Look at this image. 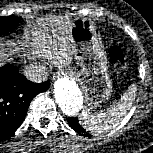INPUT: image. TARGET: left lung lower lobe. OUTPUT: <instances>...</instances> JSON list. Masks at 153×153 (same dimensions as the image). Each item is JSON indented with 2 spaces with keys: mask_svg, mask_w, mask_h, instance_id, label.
I'll return each mask as SVG.
<instances>
[{
  "mask_svg": "<svg viewBox=\"0 0 153 153\" xmlns=\"http://www.w3.org/2000/svg\"><path fill=\"white\" fill-rule=\"evenodd\" d=\"M68 124L71 126L72 129H74L76 132L86 136V137H91L90 134L85 133V129H83L80 124L78 123L77 117L75 118H69Z\"/></svg>",
  "mask_w": 153,
  "mask_h": 153,
  "instance_id": "left-lung-lower-lobe-1",
  "label": "left lung lower lobe"
}]
</instances>
